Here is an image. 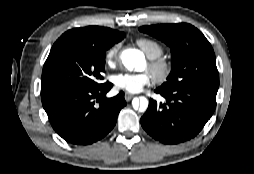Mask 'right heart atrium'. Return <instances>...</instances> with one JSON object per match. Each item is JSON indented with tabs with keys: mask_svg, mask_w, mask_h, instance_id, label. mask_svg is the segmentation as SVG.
Wrapping results in <instances>:
<instances>
[{
	"mask_svg": "<svg viewBox=\"0 0 254 174\" xmlns=\"http://www.w3.org/2000/svg\"><path fill=\"white\" fill-rule=\"evenodd\" d=\"M120 45L114 44L107 49L105 52V63L107 66L112 67L117 61V56L119 52Z\"/></svg>",
	"mask_w": 254,
	"mask_h": 174,
	"instance_id": "1",
	"label": "right heart atrium"
}]
</instances>
